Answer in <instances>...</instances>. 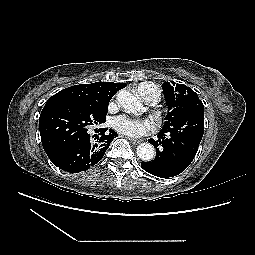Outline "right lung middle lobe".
Wrapping results in <instances>:
<instances>
[{
	"mask_svg": "<svg viewBox=\"0 0 255 255\" xmlns=\"http://www.w3.org/2000/svg\"><path fill=\"white\" fill-rule=\"evenodd\" d=\"M109 102H55L45 105L39 118L41 136L63 145L88 133L91 125L105 122Z\"/></svg>",
	"mask_w": 255,
	"mask_h": 255,
	"instance_id": "dd1d6c3e",
	"label": "right lung middle lobe"
}]
</instances>
